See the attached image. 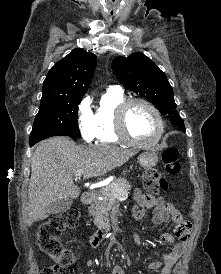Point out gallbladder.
I'll list each match as a JSON object with an SVG mask.
<instances>
[{
    "label": "gallbladder",
    "instance_id": "gallbladder-1",
    "mask_svg": "<svg viewBox=\"0 0 221 274\" xmlns=\"http://www.w3.org/2000/svg\"><path fill=\"white\" fill-rule=\"evenodd\" d=\"M72 203L73 201L71 198H60L57 199L55 202L49 204L47 206V210L51 214H57L67 210L72 205Z\"/></svg>",
    "mask_w": 221,
    "mask_h": 274
}]
</instances>
